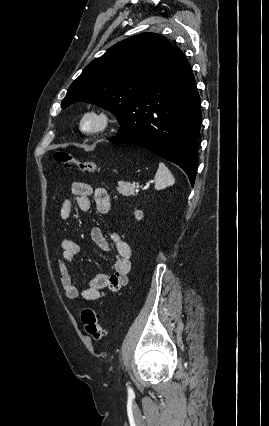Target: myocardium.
Returning a JSON list of instances; mask_svg holds the SVG:
<instances>
[{"mask_svg":"<svg viewBox=\"0 0 269 426\" xmlns=\"http://www.w3.org/2000/svg\"><path fill=\"white\" fill-rule=\"evenodd\" d=\"M112 124V114L104 109H90L80 119V129L89 135L104 133Z\"/></svg>","mask_w":269,"mask_h":426,"instance_id":"f54148a6","label":"myocardium"}]
</instances>
